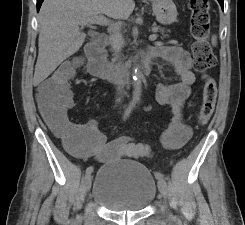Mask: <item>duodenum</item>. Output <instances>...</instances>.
<instances>
[{
    "label": "duodenum",
    "instance_id": "duodenum-1",
    "mask_svg": "<svg viewBox=\"0 0 245 225\" xmlns=\"http://www.w3.org/2000/svg\"><path fill=\"white\" fill-rule=\"evenodd\" d=\"M104 44L105 36L102 35L86 45L88 71L94 76L108 78L113 82L129 83L135 75V70L148 72L155 59L153 52H146L141 57L129 61L125 65L109 64L105 58Z\"/></svg>",
    "mask_w": 245,
    "mask_h": 225
}]
</instances>
